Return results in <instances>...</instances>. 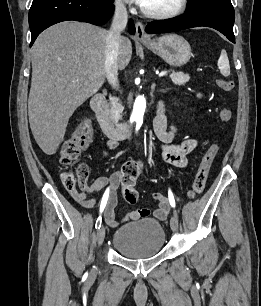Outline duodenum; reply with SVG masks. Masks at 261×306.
Wrapping results in <instances>:
<instances>
[{"label": "duodenum", "instance_id": "duodenum-1", "mask_svg": "<svg viewBox=\"0 0 261 306\" xmlns=\"http://www.w3.org/2000/svg\"><path fill=\"white\" fill-rule=\"evenodd\" d=\"M91 108L95 113L102 131L111 139H124L132 130L127 122H120L110 113L104 95L97 94L91 100Z\"/></svg>", "mask_w": 261, "mask_h": 306}]
</instances>
